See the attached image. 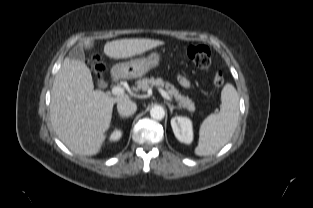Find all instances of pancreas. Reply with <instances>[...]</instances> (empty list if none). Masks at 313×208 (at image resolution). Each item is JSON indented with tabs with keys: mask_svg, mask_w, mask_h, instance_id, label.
<instances>
[{
	"mask_svg": "<svg viewBox=\"0 0 313 208\" xmlns=\"http://www.w3.org/2000/svg\"><path fill=\"white\" fill-rule=\"evenodd\" d=\"M150 85H156L159 87H164L166 92L175 98L179 102V106L186 108L190 112L195 111L194 102L186 96H183L173 85L168 82H164L161 78H143L137 81V89L146 90Z\"/></svg>",
	"mask_w": 313,
	"mask_h": 208,
	"instance_id": "pancreas-1",
	"label": "pancreas"
}]
</instances>
